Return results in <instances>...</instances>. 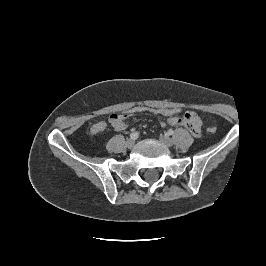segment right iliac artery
I'll use <instances>...</instances> for the list:
<instances>
[{
	"label": "right iliac artery",
	"mask_w": 266,
	"mask_h": 266,
	"mask_svg": "<svg viewBox=\"0 0 266 266\" xmlns=\"http://www.w3.org/2000/svg\"><path fill=\"white\" fill-rule=\"evenodd\" d=\"M138 136H139V133H138V132H133V133H131V135H130L131 139H134V140L137 139Z\"/></svg>",
	"instance_id": "right-iliac-artery-1"
}]
</instances>
